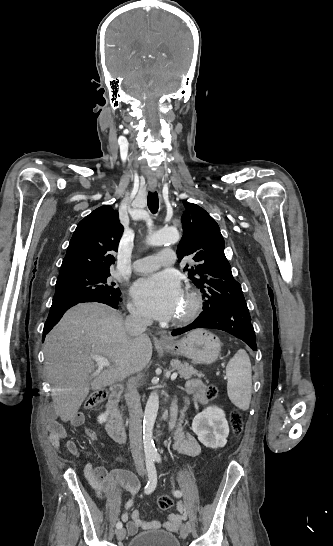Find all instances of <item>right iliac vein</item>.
I'll return each instance as SVG.
<instances>
[{
    "label": "right iliac vein",
    "mask_w": 333,
    "mask_h": 546,
    "mask_svg": "<svg viewBox=\"0 0 333 546\" xmlns=\"http://www.w3.org/2000/svg\"><path fill=\"white\" fill-rule=\"evenodd\" d=\"M116 536H117L118 540H123L125 538V536H126V530L124 528L119 529L116 532Z\"/></svg>",
    "instance_id": "right-iliac-vein-1"
}]
</instances>
